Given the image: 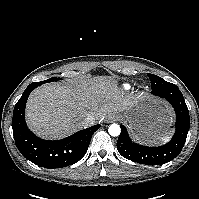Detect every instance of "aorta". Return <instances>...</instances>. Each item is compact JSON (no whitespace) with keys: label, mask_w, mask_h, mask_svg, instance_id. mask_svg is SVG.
<instances>
[{"label":"aorta","mask_w":199,"mask_h":199,"mask_svg":"<svg viewBox=\"0 0 199 199\" xmlns=\"http://www.w3.org/2000/svg\"><path fill=\"white\" fill-rule=\"evenodd\" d=\"M108 132L113 137L119 136L121 132L120 126L118 124H112L109 126Z\"/></svg>","instance_id":"1"}]
</instances>
